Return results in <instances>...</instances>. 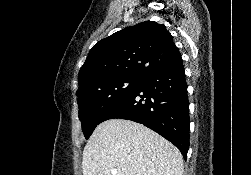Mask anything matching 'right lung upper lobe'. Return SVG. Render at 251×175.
I'll use <instances>...</instances> for the list:
<instances>
[{
    "instance_id": "cb5924a9",
    "label": "right lung upper lobe",
    "mask_w": 251,
    "mask_h": 175,
    "mask_svg": "<svg viewBox=\"0 0 251 175\" xmlns=\"http://www.w3.org/2000/svg\"><path fill=\"white\" fill-rule=\"evenodd\" d=\"M180 62L181 54L166 26L145 21L95 44L79 71V88L122 76L142 79Z\"/></svg>"
}]
</instances>
